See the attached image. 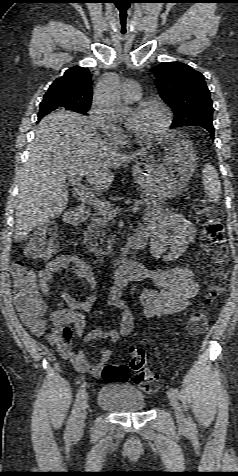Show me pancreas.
I'll return each mask as SVG.
<instances>
[{"instance_id":"cf45deb5","label":"pancreas","mask_w":238,"mask_h":476,"mask_svg":"<svg viewBox=\"0 0 238 476\" xmlns=\"http://www.w3.org/2000/svg\"><path fill=\"white\" fill-rule=\"evenodd\" d=\"M146 206V210L160 212L163 210V202L149 196H143L140 201ZM108 226V220L105 219L99 211H95L91 217L87 231L84 233L83 243L96 256L101 257L111 253L113 239L107 238L105 228ZM106 246H101L103 243Z\"/></svg>"}]
</instances>
